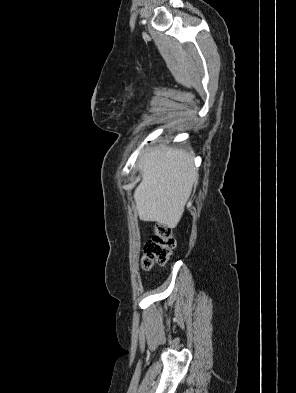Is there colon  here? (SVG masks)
I'll return each instance as SVG.
<instances>
[{"mask_svg": "<svg viewBox=\"0 0 296 393\" xmlns=\"http://www.w3.org/2000/svg\"><path fill=\"white\" fill-rule=\"evenodd\" d=\"M174 247L175 239L171 228L164 224H157L154 235L147 241L144 248L143 268L149 270L156 264H165Z\"/></svg>", "mask_w": 296, "mask_h": 393, "instance_id": "1", "label": "colon"}]
</instances>
